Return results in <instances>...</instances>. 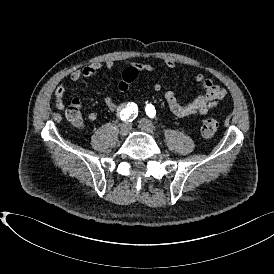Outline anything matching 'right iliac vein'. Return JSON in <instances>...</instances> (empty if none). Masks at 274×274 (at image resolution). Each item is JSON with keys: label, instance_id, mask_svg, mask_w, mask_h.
Here are the masks:
<instances>
[{"label": "right iliac vein", "instance_id": "63e3f726", "mask_svg": "<svg viewBox=\"0 0 274 274\" xmlns=\"http://www.w3.org/2000/svg\"><path fill=\"white\" fill-rule=\"evenodd\" d=\"M130 129H131L130 123L125 122V123L120 124L119 125L120 136H122V137L126 136L129 133Z\"/></svg>", "mask_w": 274, "mask_h": 274}]
</instances>
